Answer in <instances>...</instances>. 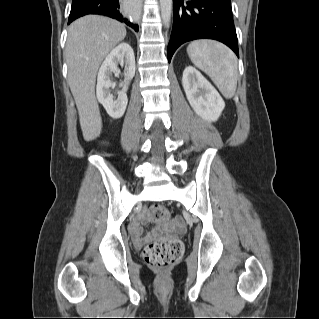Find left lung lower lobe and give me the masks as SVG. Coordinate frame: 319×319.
Segmentation results:
<instances>
[{
  "instance_id": "left-lung-lower-lobe-1",
  "label": "left lung lower lobe",
  "mask_w": 319,
  "mask_h": 319,
  "mask_svg": "<svg viewBox=\"0 0 319 319\" xmlns=\"http://www.w3.org/2000/svg\"><path fill=\"white\" fill-rule=\"evenodd\" d=\"M195 39H214L226 44L239 57L231 0H173V29L168 61L176 49Z\"/></svg>"
}]
</instances>
